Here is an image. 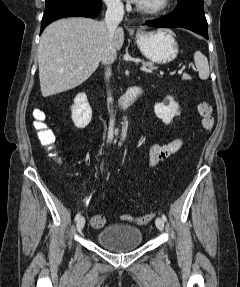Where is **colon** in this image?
Here are the masks:
<instances>
[{"mask_svg":"<svg viewBox=\"0 0 240 287\" xmlns=\"http://www.w3.org/2000/svg\"><path fill=\"white\" fill-rule=\"evenodd\" d=\"M198 113L201 117V123L202 127L205 130H210L213 127L214 124V118H213V109L212 106L206 102L201 101L198 106ZM33 126L37 131V136L41 144L53 147L56 141L55 135L48 128V126L45 124V113L40 109H35L33 111ZM154 218V214L149 213L145 214L140 217H134L131 215H122L121 220L123 221H134L140 225L146 224L150 222ZM105 224V218L101 215L93 216L91 219V225L95 228H101Z\"/></svg>","mask_w":240,"mask_h":287,"instance_id":"5ec220e1","label":"colon"}]
</instances>
